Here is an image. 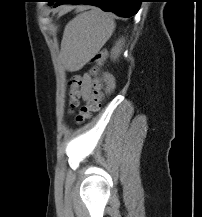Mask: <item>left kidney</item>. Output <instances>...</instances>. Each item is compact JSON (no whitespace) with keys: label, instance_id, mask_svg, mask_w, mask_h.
<instances>
[{"label":"left kidney","instance_id":"obj_1","mask_svg":"<svg viewBox=\"0 0 202 217\" xmlns=\"http://www.w3.org/2000/svg\"><path fill=\"white\" fill-rule=\"evenodd\" d=\"M120 55V47L117 45L111 51V58L116 60Z\"/></svg>","mask_w":202,"mask_h":217}]
</instances>
